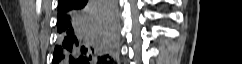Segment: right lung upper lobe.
<instances>
[{"instance_id":"right-lung-upper-lobe-1","label":"right lung upper lobe","mask_w":242,"mask_h":64,"mask_svg":"<svg viewBox=\"0 0 242 64\" xmlns=\"http://www.w3.org/2000/svg\"><path fill=\"white\" fill-rule=\"evenodd\" d=\"M64 1H65V0H59V2H58V6H59L60 4H62Z\"/></svg>"}]
</instances>
